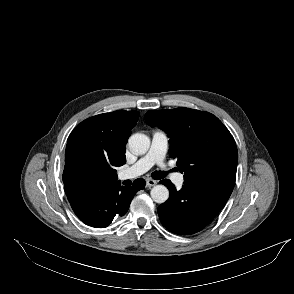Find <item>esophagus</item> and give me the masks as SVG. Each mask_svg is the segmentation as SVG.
Listing matches in <instances>:
<instances>
[{
  "mask_svg": "<svg viewBox=\"0 0 294 294\" xmlns=\"http://www.w3.org/2000/svg\"><path fill=\"white\" fill-rule=\"evenodd\" d=\"M156 181L155 180H153V179H150V178H148L147 180H146V186L147 187H152V186H154V185H156Z\"/></svg>",
  "mask_w": 294,
  "mask_h": 294,
  "instance_id": "obj_1",
  "label": "esophagus"
}]
</instances>
